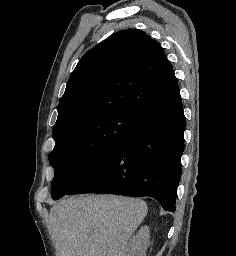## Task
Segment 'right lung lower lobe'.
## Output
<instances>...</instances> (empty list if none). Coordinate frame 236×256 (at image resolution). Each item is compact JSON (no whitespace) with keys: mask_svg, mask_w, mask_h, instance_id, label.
<instances>
[{"mask_svg":"<svg viewBox=\"0 0 236 256\" xmlns=\"http://www.w3.org/2000/svg\"><path fill=\"white\" fill-rule=\"evenodd\" d=\"M185 117L180 95L142 118L66 195L150 196L174 212L181 178Z\"/></svg>","mask_w":236,"mask_h":256,"instance_id":"98d812e1","label":"right lung lower lobe"}]
</instances>
